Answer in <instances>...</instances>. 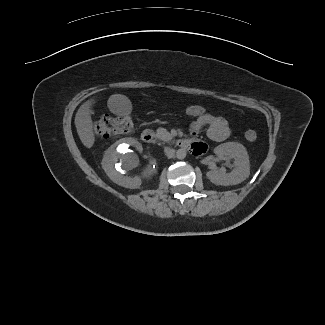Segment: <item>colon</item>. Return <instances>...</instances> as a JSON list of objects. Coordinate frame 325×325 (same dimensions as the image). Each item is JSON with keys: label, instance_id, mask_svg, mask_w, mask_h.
<instances>
[{"label": "colon", "instance_id": "obj_1", "mask_svg": "<svg viewBox=\"0 0 325 325\" xmlns=\"http://www.w3.org/2000/svg\"><path fill=\"white\" fill-rule=\"evenodd\" d=\"M184 113L197 119L209 114L206 107L201 105H187L184 108ZM134 131L132 119L129 116H123L121 118H113L108 115L98 118L94 123V133L100 138H110L121 134H131ZM245 138L249 141H254L257 138V133L248 129L245 132Z\"/></svg>", "mask_w": 325, "mask_h": 325}]
</instances>
